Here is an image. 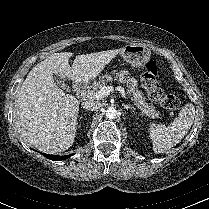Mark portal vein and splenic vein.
I'll list each match as a JSON object with an SVG mask.
<instances>
[{
    "mask_svg": "<svg viewBox=\"0 0 209 209\" xmlns=\"http://www.w3.org/2000/svg\"><path fill=\"white\" fill-rule=\"evenodd\" d=\"M116 91H119L121 96L123 98H126V93L123 87L121 86H117L115 88ZM114 91V88L112 86H103L97 93H96V97L97 98H103L105 96H108L111 92Z\"/></svg>",
    "mask_w": 209,
    "mask_h": 209,
    "instance_id": "portal-vein-and-splenic-vein-1",
    "label": "portal vein and splenic vein"
}]
</instances>
